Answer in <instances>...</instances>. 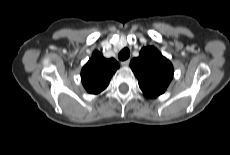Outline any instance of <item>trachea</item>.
I'll list each match as a JSON object with an SVG mask.
<instances>
[{"label":"trachea","mask_w":230,"mask_h":155,"mask_svg":"<svg viewBox=\"0 0 230 155\" xmlns=\"http://www.w3.org/2000/svg\"><path fill=\"white\" fill-rule=\"evenodd\" d=\"M130 56V50L128 48H124L120 51V53L118 54V58L122 61L128 59Z\"/></svg>","instance_id":"obj_1"}]
</instances>
